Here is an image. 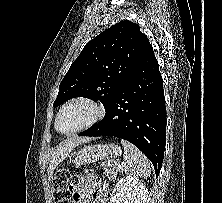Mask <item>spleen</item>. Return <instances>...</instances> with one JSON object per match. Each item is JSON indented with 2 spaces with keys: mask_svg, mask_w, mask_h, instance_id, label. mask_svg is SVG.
<instances>
[{
  "mask_svg": "<svg viewBox=\"0 0 222 203\" xmlns=\"http://www.w3.org/2000/svg\"><path fill=\"white\" fill-rule=\"evenodd\" d=\"M121 144L124 147L125 173L139 177H149L151 168L148 158L130 142L122 139Z\"/></svg>",
  "mask_w": 222,
  "mask_h": 203,
  "instance_id": "3e777b00",
  "label": "spleen"
}]
</instances>
